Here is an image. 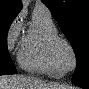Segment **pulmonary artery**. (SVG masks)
I'll return each instance as SVG.
<instances>
[{
  "label": "pulmonary artery",
  "instance_id": "1",
  "mask_svg": "<svg viewBox=\"0 0 89 89\" xmlns=\"http://www.w3.org/2000/svg\"><path fill=\"white\" fill-rule=\"evenodd\" d=\"M34 12L50 15L49 9L41 2H36Z\"/></svg>",
  "mask_w": 89,
  "mask_h": 89
}]
</instances>
